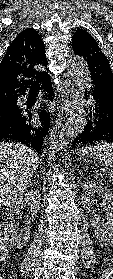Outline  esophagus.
Masks as SVG:
<instances>
[{"instance_id":"esophagus-1","label":"esophagus","mask_w":113,"mask_h":279,"mask_svg":"<svg viewBox=\"0 0 113 279\" xmlns=\"http://www.w3.org/2000/svg\"><path fill=\"white\" fill-rule=\"evenodd\" d=\"M63 91H64V110L66 115H72L77 108V95L76 90L73 86L71 80L66 79L63 84Z\"/></svg>"}]
</instances>
